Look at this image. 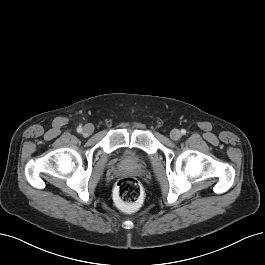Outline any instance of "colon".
<instances>
[{
    "label": "colon",
    "instance_id": "colon-1",
    "mask_svg": "<svg viewBox=\"0 0 265 265\" xmlns=\"http://www.w3.org/2000/svg\"><path fill=\"white\" fill-rule=\"evenodd\" d=\"M114 193L121 204L135 205L142 198V187L135 178L124 177L117 182Z\"/></svg>",
    "mask_w": 265,
    "mask_h": 265
}]
</instances>
